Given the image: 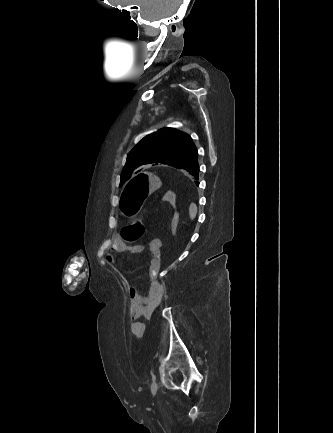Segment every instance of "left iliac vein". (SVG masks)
<instances>
[{"label":"left iliac vein","instance_id":"1","mask_svg":"<svg viewBox=\"0 0 333 433\" xmlns=\"http://www.w3.org/2000/svg\"><path fill=\"white\" fill-rule=\"evenodd\" d=\"M151 391L153 394H155L157 392V382L154 381L151 385Z\"/></svg>","mask_w":333,"mask_h":433}]
</instances>
